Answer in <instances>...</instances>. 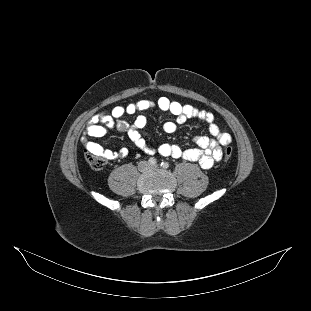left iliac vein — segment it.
<instances>
[{"label": "left iliac vein", "instance_id": "4c4485c4", "mask_svg": "<svg viewBox=\"0 0 311 311\" xmlns=\"http://www.w3.org/2000/svg\"><path fill=\"white\" fill-rule=\"evenodd\" d=\"M151 168L156 169V168H158V165H153V166H151Z\"/></svg>", "mask_w": 311, "mask_h": 311}]
</instances>
